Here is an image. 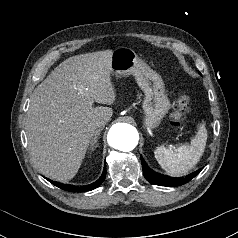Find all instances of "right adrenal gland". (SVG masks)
Masks as SVG:
<instances>
[{"label":"right adrenal gland","instance_id":"obj_1","mask_svg":"<svg viewBox=\"0 0 238 238\" xmlns=\"http://www.w3.org/2000/svg\"><path fill=\"white\" fill-rule=\"evenodd\" d=\"M103 127L99 128L98 130H96L94 137L91 139L90 142V149L94 150V148H96L98 146L97 140L100 136V132L102 131Z\"/></svg>","mask_w":238,"mask_h":238}]
</instances>
